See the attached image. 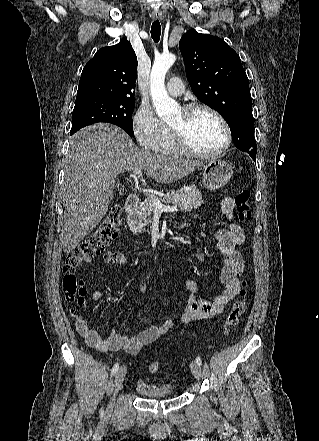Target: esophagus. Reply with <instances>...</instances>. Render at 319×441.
I'll return each mask as SVG.
<instances>
[{"instance_id": "1", "label": "esophagus", "mask_w": 319, "mask_h": 441, "mask_svg": "<svg viewBox=\"0 0 319 441\" xmlns=\"http://www.w3.org/2000/svg\"><path fill=\"white\" fill-rule=\"evenodd\" d=\"M152 17L155 20H157V19L161 20L162 19V14L160 13L159 10H153L152 11Z\"/></svg>"}]
</instances>
